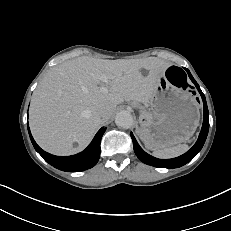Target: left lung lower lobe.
I'll return each mask as SVG.
<instances>
[{
  "label": "left lung lower lobe",
  "mask_w": 231,
  "mask_h": 231,
  "mask_svg": "<svg viewBox=\"0 0 231 231\" xmlns=\"http://www.w3.org/2000/svg\"><path fill=\"white\" fill-rule=\"evenodd\" d=\"M190 79L192 80V82L195 84V86L197 87L202 100H203V108H204V119H203V125H202V129L201 132L199 134V138L197 140V142L195 143V145L189 150L187 151V153L173 158V159H158L155 158L153 156H150L149 154H147L137 143L135 137L133 136L132 133H130L131 137H132V141H133V147H134V151L135 154L137 155V157L145 164L154 166V167H160V168H178L181 167L183 165H185L186 163H188L189 161H191L197 153H199V151L202 149L205 140L207 138V134H208V130H209V112H208V108H207V103H206V99L204 94L202 93L199 85L197 84V82L194 80V78L192 77V75L188 72Z\"/></svg>",
  "instance_id": "1"
}]
</instances>
